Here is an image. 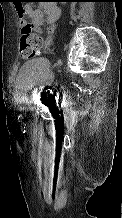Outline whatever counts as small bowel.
I'll return each mask as SVG.
<instances>
[{
  "mask_svg": "<svg viewBox=\"0 0 122 218\" xmlns=\"http://www.w3.org/2000/svg\"><path fill=\"white\" fill-rule=\"evenodd\" d=\"M18 11L20 23L23 25L26 22L25 16H27L37 31H41L46 22L53 23L60 16V9L53 3V0H43L40 8L25 6L20 7ZM45 15H47V21L44 19Z\"/></svg>",
  "mask_w": 122,
  "mask_h": 218,
  "instance_id": "small-bowel-1",
  "label": "small bowel"
}]
</instances>
